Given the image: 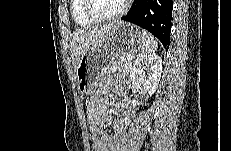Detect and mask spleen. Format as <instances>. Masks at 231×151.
<instances>
[{
  "instance_id": "1",
  "label": "spleen",
  "mask_w": 231,
  "mask_h": 151,
  "mask_svg": "<svg viewBox=\"0 0 231 151\" xmlns=\"http://www.w3.org/2000/svg\"><path fill=\"white\" fill-rule=\"evenodd\" d=\"M143 35V45L142 53H153L158 48V42L154 36L148 33L146 30H142Z\"/></svg>"
}]
</instances>
